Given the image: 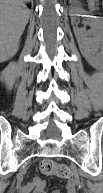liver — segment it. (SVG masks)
<instances>
[{
  "label": "liver",
  "mask_w": 103,
  "mask_h": 193,
  "mask_svg": "<svg viewBox=\"0 0 103 193\" xmlns=\"http://www.w3.org/2000/svg\"><path fill=\"white\" fill-rule=\"evenodd\" d=\"M30 11L24 0H1L0 57L12 58L19 49V40L28 23Z\"/></svg>",
  "instance_id": "obj_1"
}]
</instances>
